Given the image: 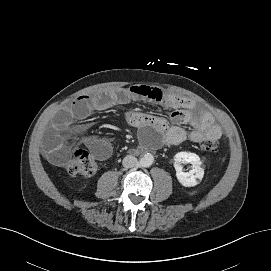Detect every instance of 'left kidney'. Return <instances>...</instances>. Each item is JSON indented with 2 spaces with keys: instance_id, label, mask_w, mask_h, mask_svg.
<instances>
[{
  "instance_id": "5707ae66",
  "label": "left kidney",
  "mask_w": 271,
  "mask_h": 271,
  "mask_svg": "<svg viewBox=\"0 0 271 271\" xmlns=\"http://www.w3.org/2000/svg\"><path fill=\"white\" fill-rule=\"evenodd\" d=\"M182 163L192 164L189 172H183ZM202 162L199 156L191 152H178L174 156L173 166L176 170V177L179 183L185 187H193L202 180L204 169L201 167Z\"/></svg>"
}]
</instances>
